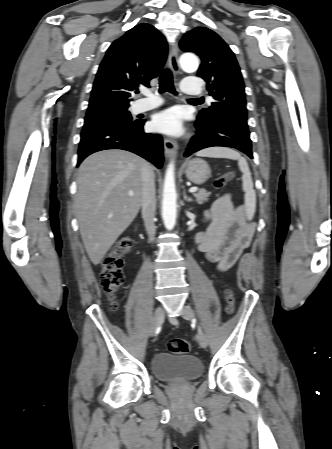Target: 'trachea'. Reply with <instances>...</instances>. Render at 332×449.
<instances>
[{"label":"trachea","instance_id":"3493384b","mask_svg":"<svg viewBox=\"0 0 332 449\" xmlns=\"http://www.w3.org/2000/svg\"><path fill=\"white\" fill-rule=\"evenodd\" d=\"M165 91L176 94V90L173 84V76L169 69L164 70L159 79V92L162 93ZM192 100L203 101L199 98Z\"/></svg>","mask_w":332,"mask_h":449}]
</instances>
